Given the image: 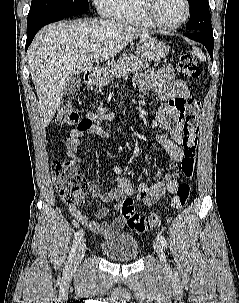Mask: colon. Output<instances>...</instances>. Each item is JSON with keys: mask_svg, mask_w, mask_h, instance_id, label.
<instances>
[{"mask_svg": "<svg viewBox=\"0 0 239 303\" xmlns=\"http://www.w3.org/2000/svg\"><path fill=\"white\" fill-rule=\"evenodd\" d=\"M178 70L186 78L197 79L200 77V68L196 59L190 54H183L178 63ZM201 102L190 98L187 104V114L183 123L182 148L183 157L180 161L181 172L185 181L177 187L172 198L173 208L183 207L191 195V183L195 172V159L200 133ZM81 119L80 112L72 99H66L60 105L56 122L60 124H74ZM52 176L57 194L65 205L78 206L83 203L89 184L78 169L74 160L57 161L52 165ZM121 215L127 225L138 232L151 231L161 226L162 218L156 213L142 216L135 211L134 201L131 197L123 200Z\"/></svg>", "mask_w": 239, "mask_h": 303, "instance_id": "colon-1", "label": "colon"}]
</instances>
